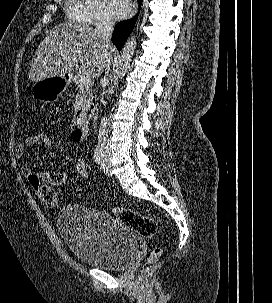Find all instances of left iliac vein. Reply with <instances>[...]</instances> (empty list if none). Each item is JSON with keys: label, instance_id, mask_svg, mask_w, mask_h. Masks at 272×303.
I'll return each instance as SVG.
<instances>
[{"label": "left iliac vein", "instance_id": "4c4485c4", "mask_svg": "<svg viewBox=\"0 0 272 303\" xmlns=\"http://www.w3.org/2000/svg\"><path fill=\"white\" fill-rule=\"evenodd\" d=\"M102 169H103V172L110 176L111 175V165H110V161L107 160V159H103L102 161Z\"/></svg>", "mask_w": 272, "mask_h": 303}]
</instances>
